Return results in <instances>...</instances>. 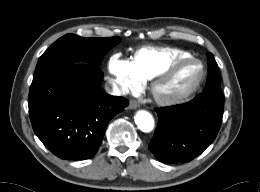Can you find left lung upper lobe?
<instances>
[{
  "label": "left lung upper lobe",
  "instance_id": "1",
  "mask_svg": "<svg viewBox=\"0 0 260 192\" xmlns=\"http://www.w3.org/2000/svg\"><path fill=\"white\" fill-rule=\"evenodd\" d=\"M208 65H209L208 78H207L206 87L203 90V92H208V91L221 92L218 66L211 53L209 54L208 57Z\"/></svg>",
  "mask_w": 260,
  "mask_h": 192
}]
</instances>
